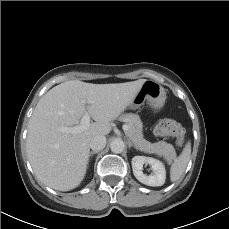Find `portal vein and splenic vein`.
Masks as SVG:
<instances>
[{
    "label": "portal vein and splenic vein",
    "mask_w": 229,
    "mask_h": 229,
    "mask_svg": "<svg viewBox=\"0 0 229 229\" xmlns=\"http://www.w3.org/2000/svg\"><path fill=\"white\" fill-rule=\"evenodd\" d=\"M84 103H86V102H84ZM89 125H90V115L88 113H85L84 116L82 117L81 121H80V125H77L74 127H62V128H60V131L65 132V133L76 134V133H80V132L88 129ZM122 128H123L124 132L127 133L128 129H129L128 126L123 125Z\"/></svg>",
    "instance_id": "obj_1"
}]
</instances>
